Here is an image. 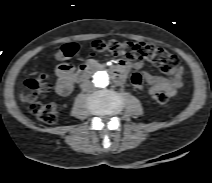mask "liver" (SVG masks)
Instances as JSON below:
<instances>
[{
	"label": "liver",
	"instance_id": "6515ba94",
	"mask_svg": "<svg viewBox=\"0 0 212 183\" xmlns=\"http://www.w3.org/2000/svg\"><path fill=\"white\" fill-rule=\"evenodd\" d=\"M21 100H22L23 102H25V99H24L23 94H21Z\"/></svg>",
	"mask_w": 212,
	"mask_h": 183
}]
</instances>
